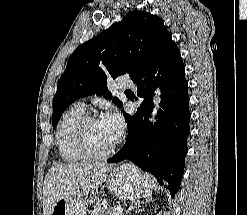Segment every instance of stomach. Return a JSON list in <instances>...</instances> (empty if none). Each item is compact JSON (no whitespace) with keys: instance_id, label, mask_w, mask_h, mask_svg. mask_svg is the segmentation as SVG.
Instances as JSON below:
<instances>
[{"instance_id":"0dacf381","label":"stomach","mask_w":247,"mask_h":215,"mask_svg":"<svg viewBox=\"0 0 247 215\" xmlns=\"http://www.w3.org/2000/svg\"><path fill=\"white\" fill-rule=\"evenodd\" d=\"M108 188L123 200H134L148 197L152 193L149 176L141 174L133 165H122L115 168L107 179ZM99 202L96 193L89 199L83 197H63L54 205L51 215H86L87 203Z\"/></svg>"}]
</instances>
